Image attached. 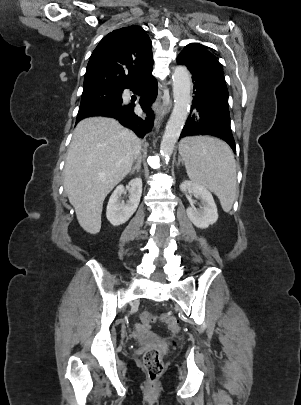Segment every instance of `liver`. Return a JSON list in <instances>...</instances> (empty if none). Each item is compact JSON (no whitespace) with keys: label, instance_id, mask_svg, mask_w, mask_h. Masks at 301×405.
<instances>
[{"label":"liver","instance_id":"obj_1","mask_svg":"<svg viewBox=\"0 0 301 405\" xmlns=\"http://www.w3.org/2000/svg\"><path fill=\"white\" fill-rule=\"evenodd\" d=\"M140 139L112 118L80 121L64 168V189L81 227L91 234L101 229L103 202L131 171Z\"/></svg>","mask_w":301,"mask_h":405}]
</instances>
